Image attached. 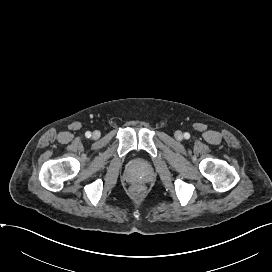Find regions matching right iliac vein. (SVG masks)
Listing matches in <instances>:
<instances>
[{
  "mask_svg": "<svg viewBox=\"0 0 272 272\" xmlns=\"http://www.w3.org/2000/svg\"><path fill=\"white\" fill-rule=\"evenodd\" d=\"M92 137L94 139H98L100 137V132L99 131H94L93 134H92Z\"/></svg>",
  "mask_w": 272,
  "mask_h": 272,
  "instance_id": "obj_1",
  "label": "right iliac vein"
}]
</instances>
